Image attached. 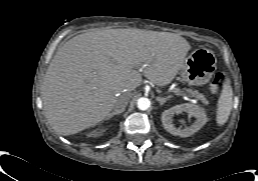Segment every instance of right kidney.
Masks as SVG:
<instances>
[{"mask_svg": "<svg viewBox=\"0 0 258 181\" xmlns=\"http://www.w3.org/2000/svg\"><path fill=\"white\" fill-rule=\"evenodd\" d=\"M104 131H105L104 129L94 130L91 132L90 136H97L99 134H102Z\"/></svg>", "mask_w": 258, "mask_h": 181, "instance_id": "right-kidney-1", "label": "right kidney"}]
</instances>
